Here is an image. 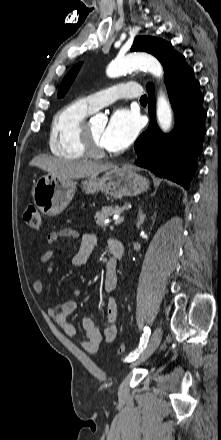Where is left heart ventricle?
I'll list each match as a JSON object with an SVG mask.
<instances>
[{"mask_svg": "<svg viewBox=\"0 0 221 440\" xmlns=\"http://www.w3.org/2000/svg\"><path fill=\"white\" fill-rule=\"evenodd\" d=\"M105 127H106L105 123H99V122L89 123V130L91 132L92 137L94 138L97 145H99L102 148H105L101 141Z\"/></svg>", "mask_w": 221, "mask_h": 440, "instance_id": "left-heart-ventricle-1", "label": "left heart ventricle"}]
</instances>
